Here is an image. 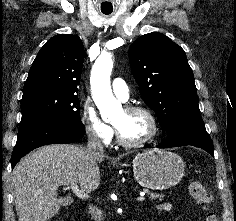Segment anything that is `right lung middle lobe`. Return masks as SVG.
<instances>
[{"label": "right lung middle lobe", "instance_id": "1", "mask_svg": "<svg viewBox=\"0 0 236 221\" xmlns=\"http://www.w3.org/2000/svg\"><path fill=\"white\" fill-rule=\"evenodd\" d=\"M79 106L76 93L46 90L27 93L21 101V124L47 119L82 127Z\"/></svg>", "mask_w": 236, "mask_h": 221}]
</instances>
